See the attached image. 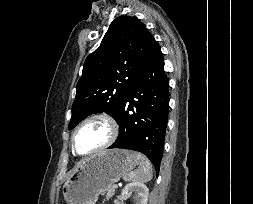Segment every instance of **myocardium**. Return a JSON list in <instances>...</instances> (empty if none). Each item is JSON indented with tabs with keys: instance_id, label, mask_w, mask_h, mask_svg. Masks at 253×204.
Masks as SVG:
<instances>
[{
	"instance_id": "obj_1",
	"label": "myocardium",
	"mask_w": 253,
	"mask_h": 204,
	"mask_svg": "<svg viewBox=\"0 0 253 204\" xmlns=\"http://www.w3.org/2000/svg\"><path fill=\"white\" fill-rule=\"evenodd\" d=\"M93 120H102V121L106 122L110 128V136H109L108 140L104 144H102L101 146H99L89 152L80 153L76 149V135L81 127H83L85 124H87L88 122H91ZM118 134H119V126H118V123L115 121V119H113L111 116H109L107 114H102V113L93 114V115L85 118L84 120H82L77 125V127L74 129L73 134H72V138H71L72 151L77 156H81V157L91 156L95 153L101 152V151L109 148L116 141Z\"/></svg>"
}]
</instances>
